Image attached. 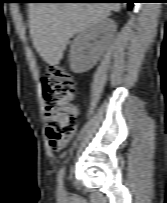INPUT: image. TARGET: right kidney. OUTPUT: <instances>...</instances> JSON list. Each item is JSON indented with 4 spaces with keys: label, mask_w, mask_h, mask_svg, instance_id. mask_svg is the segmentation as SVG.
Masks as SVG:
<instances>
[{
    "label": "right kidney",
    "mask_w": 167,
    "mask_h": 203,
    "mask_svg": "<svg viewBox=\"0 0 167 203\" xmlns=\"http://www.w3.org/2000/svg\"><path fill=\"white\" fill-rule=\"evenodd\" d=\"M112 19H104L80 32L70 50V68L74 73L90 70L99 60L116 31Z\"/></svg>",
    "instance_id": "1"
}]
</instances>
